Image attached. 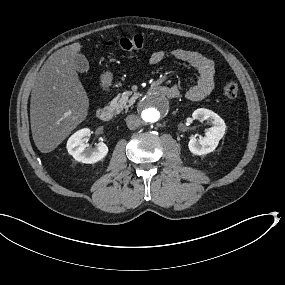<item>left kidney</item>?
<instances>
[{
  "label": "left kidney",
  "mask_w": 285,
  "mask_h": 285,
  "mask_svg": "<svg viewBox=\"0 0 285 285\" xmlns=\"http://www.w3.org/2000/svg\"><path fill=\"white\" fill-rule=\"evenodd\" d=\"M193 118L199 122L206 121L207 124L212 126L205 131L202 140L198 141L195 137H191L188 144L189 151L195 156L214 152L225 134V122L218 114L207 109H197L193 113Z\"/></svg>",
  "instance_id": "5707ae66"
}]
</instances>
